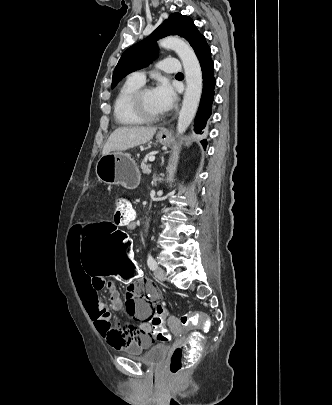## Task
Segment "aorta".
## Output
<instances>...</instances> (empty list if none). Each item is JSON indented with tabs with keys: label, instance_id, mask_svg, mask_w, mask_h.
<instances>
[{
	"label": "aorta",
	"instance_id": "762f6f07",
	"mask_svg": "<svg viewBox=\"0 0 332 405\" xmlns=\"http://www.w3.org/2000/svg\"><path fill=\"white\" fill-rule=\"evenodd\" d=\"M159 45L175 51L184 67L186 90L177 123V132L183 134L196 115L202 95L203 78L200 63L189 43L178 37H166Z\"/></svg>",
	"mask_w": 332,
	"mask_h": 405
}]
</instances>
